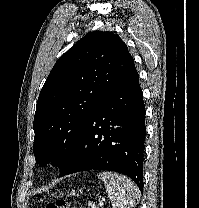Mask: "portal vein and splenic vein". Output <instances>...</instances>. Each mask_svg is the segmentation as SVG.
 <instances>
[{
	"label": "portal vein and splenic vein",
	"instance_id": "1",
	"mask_svg": "<svg viewBox=\"0 0 199 208\" xmlns=\"http://www.w3.org/2000/svg\"><path fill=\"white\" fill-rule=\"evenodd\" d=\"M104 202H105V199H101V200L99 201V205H100V206H104Z\"/></svg>",
	"mask_w": 199,
	"mask_h": 208
}]
</instances>
